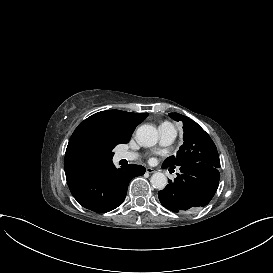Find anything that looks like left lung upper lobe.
<instances>
[{
  "mask_svg": "<svg viewBox=\"0 0 273 273\" xmlns=\"http://www.w3.org/2000/svg\"><path fill=\"white\" fill-rule=\"evenodd\" d=\"M175 121L183 122V145L176 156L168 157L163 164L166 166H182L192 163H205L220 168L217 148L210 138L196 122L178 113H169Z\"/></svg>",
  "mask_w": 273,
  "mask_h": 273,
  "instance_id": "obj_1",
  "label": "left lung upper lobe"
}]
</instances>
